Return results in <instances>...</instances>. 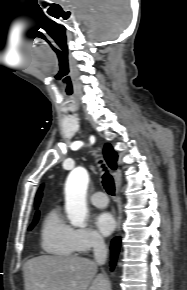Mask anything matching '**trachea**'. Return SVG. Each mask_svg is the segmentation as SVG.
<instances>
[{
    "label": "trachea",
    "mask_w": 187,
    "mask_h": 290,
    "mask_svg": "<svg viewBox=\"0 0 187 290\" xmlns=\"http://www.w3.org/2000/svg\"><path fill=\"white\" fill-rule=\"evenodd\" d=\"M102 166L105 170V173L103 175V180H102L103 186H104L105 190L107 191V193L113 196L115 193L114 180H113L112 176L108 173V171L106 170L104 165H102Z\"/></svg>",
    "instance_id": "3493384b"
}]
</instances>
